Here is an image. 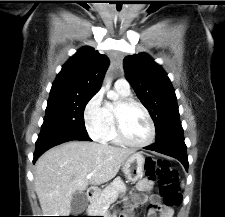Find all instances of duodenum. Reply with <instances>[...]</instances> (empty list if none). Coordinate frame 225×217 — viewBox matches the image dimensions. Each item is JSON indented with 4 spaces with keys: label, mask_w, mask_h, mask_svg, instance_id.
<instances>
[{
    "label": "duodenum",
    "mask_w": 225,
    "mask_h": 217,
    "mask_svg": "<svg viewBox=\"0 0 225 217\" xmlns=\"http://www.w3.org/2000/svg\"><path fill=\"white\" fill-rule=\"evenodd\" d=\"M86 195L89 201H93L95 198V191L90 189L87 191Z\"/></svg>",
    "instance_id": "410a0bca"
}]
</instances>
